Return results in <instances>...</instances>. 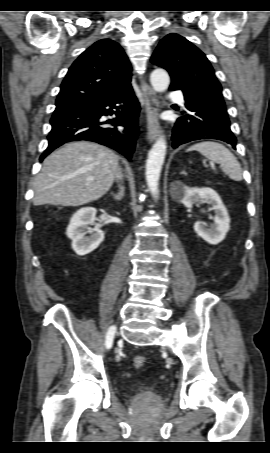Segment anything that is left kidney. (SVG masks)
Returning a JSON list of instances; mask_svg holds the SVG:
<instances>
[{
  "mask_svg": "<svg viewBox=\"0 0 270 453\" xmlns=\"http://www.w3.org/2000/svg\"><path fill=\"white\" fill-rule=\"evenodd\" d=\"M198 201H204L211 205L214 210L213 223L210 226L200 221L195 222L194 231L209 244L216 245L224 240L227 232L230 230V217L220 196L211 188H189L185 187L181 202L186 208H192Z\"/></svg>",
  "mask_w": 270,
  "mask_h": 453,
  "instance_id": "1",
  "label": "left kidney"
}]
</instances>
